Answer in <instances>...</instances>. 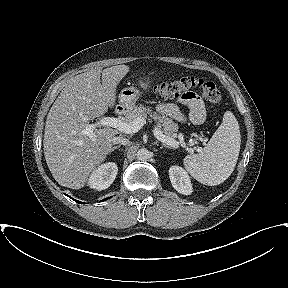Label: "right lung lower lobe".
Wrapping results in <instances>:
<instances>
[{"mask_svg":"<svg viewBox=\"0 0 288 288\" xmlns=\"http://www.w3.org/2000/svg\"><path fill=\"white\" fill-rule=\"evenodd\" d=\"M74 200V199H73ZM106 199H104L103 201H105ZM74 201H76V202H78V203H83V202H80V201H77V200H74Z\"/></svg>","mask_w":288,"mask_h":288,"instance_id":"obj_1","label":"right lung lower lobe"}]
</instances>
